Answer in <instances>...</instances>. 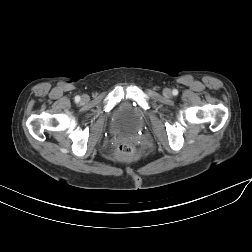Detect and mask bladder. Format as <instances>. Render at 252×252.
<instances>
[{
  "label": "bladder",
  "mask_w": 252,
  "mask_h": 252,
  "mask_svg": "<svg viewBox=\"0 0 252 252\" xmlns=\"http://www.w3.org/2000/svg\"><path fill=\"white\" fill-rule=\"evenodd\" d=\"M143 122V111L133 107L129 102H123L115 111L112 127L120 133L131 134L135 132Z\"/></svg>",
  "instance_id": "1"
}]
</instances>
